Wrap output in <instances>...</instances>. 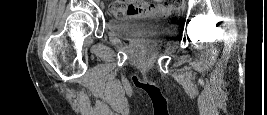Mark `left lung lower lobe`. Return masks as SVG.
Segmentation results:
<instances>
[{"label": "left lung lower lobe", "instance_id": "0a47b994", "mask_svg": "<svg viewBox=\"0 0 267 115\" xmlns=\"http://www.w3.org/2000/svg\"><path fill=\"white\" fill-rule=\"evenodd\" d=\"M137 87H143V86H140V85H137ZM151 89H153L154 91H159V89H157V88H153V87H151Z\"/></svg>", "mask_w": 267, "mask_h": 115}]
</instances>
